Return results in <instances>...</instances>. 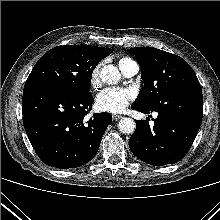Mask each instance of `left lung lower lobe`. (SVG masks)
I'll return each instance as SVG.
<instances>
[{"mask_svg":"<svg viewBox=\"0 0 220 220\" xmlns=\"http://www.w3.org/2000/svg\"><path fill=\"white\" fill-rule=\"evenodd\" d=\"M131 107L143 113H158L153 127L147 120L136 121L129 147L137 158L163 166L174 164L187 154L202 122L201 89L182 91L151 108L134 104Z\"/></svg>","mask_w":220,"mask_h":220,"instance_id":"0a47b994","label":"left lung lower lobe"}]
</instances>
